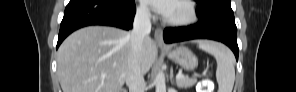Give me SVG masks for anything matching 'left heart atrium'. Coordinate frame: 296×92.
<instances>
[{"label":"left heart atrium","instance_id":"39dd6f15","mask_svg":"<svg viewBox=\"0 0 296 92\" xmlns=\"http://www.w3.org/2000/svg\"><path fill=\"white\" fill-rule=\"evenodd\" d=\"M144 3L150 5L156 12L168 17L173 9V2L166 0H145Z\"/></svg>","mask_w":296,"mask_h":92}]
</instances>
